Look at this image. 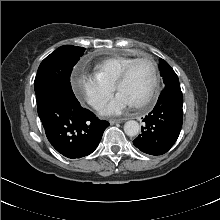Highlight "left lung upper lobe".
Returning <instances> with one entry per match:
<instances>
[{
    "mask_svg": "<svg viewBox=\"0 0 220 220\" xmlns=\"http://www.w3.org/2000/svg\"><path fill=\"white\" fill-rule=\"evenodd\" d=\"M160 75L163 77L165 87L179 85V79L171 66L163 59H160L159 64Z\"/></svg>",
    "mask_w": 220,
    "mask_h": 220,
    "instance_id": "5c2ea615",
    "label": "left lung upper lobe"
}]
</instances>
